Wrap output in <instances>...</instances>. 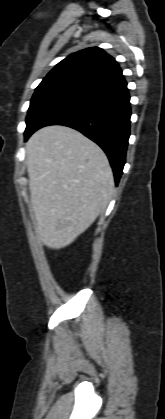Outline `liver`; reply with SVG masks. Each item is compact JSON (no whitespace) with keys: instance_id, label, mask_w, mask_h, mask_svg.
Returning <instances> with one entry per match:
<instances>
[{"instance_id":"1","label":"liver","mask_w":165,"mask_h":419,"mask_svg":"<svg viewBox=\"0 0 165 419\" xmlns=\"http://www.w3.org/2000/svg\"><path fill=\"white\" fill-rule=\"evenodd\" d=\"M30 202L43 245L60 249L85 232L114 191L103 150L65 126L36 131L26 144Z\"/></svg>"}]
</instances>
